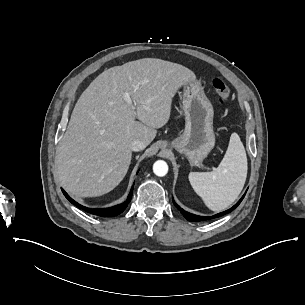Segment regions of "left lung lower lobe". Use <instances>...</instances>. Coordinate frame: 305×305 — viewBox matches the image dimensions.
Listing matches in <instances>:
<instances>
[{"mask_svg":"<svg viewBox=\"0 0 305 305\" xmlns=\"http://www.w3.org/2000/svg\"><path fill=\"white\" fill-rule=\"evenodd\" d=\"M245 194H246V192H245ZM245 194H244V195L242 196V198L238 201V203H237L236 205H234L232 208H230V209H228V210H226V211H224V212H221V213H219V214H216V215H214V216H211V217H210V216H209V217H207V216H199V215H195V214L189 213V212L183 210L178 204H176L174 200H173V203H174V205L176 206V208H177L178 210H180V212L183 214V216H184L188 221H191V222H192V221H205V220H210V219H213V218H217V217L223 216V215H225V214H227V213H230L232 210H234V209L240 204V202L243 200Z\"/></svg>","mask_w":305,"mask_h":305,"instance_id":"1","label":"left lung lower lobe"}]
</instances>
